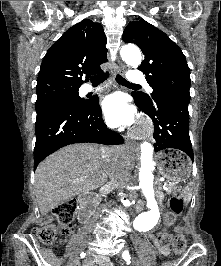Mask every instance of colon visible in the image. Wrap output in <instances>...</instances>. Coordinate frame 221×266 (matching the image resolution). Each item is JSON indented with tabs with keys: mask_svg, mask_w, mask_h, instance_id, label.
Masks as SVG:
<instances>
[{
	"mask_svg": "<svg viewBox=\"0 0 221 266\" xmlns=\"http://www.w3.org/2000/svg\"><path fill=\"white\" fill-rule=\"evenodd\" d=\"M170 211L165 213L163 216L164 230L159 233V240L161 243H166L168 240V234L166 228L172 226L177 217L180 216L184 209V201L180 190L172 195L169 200ZM76 210V201L67 200L57 205L52 214L58 222L59 227L54 226H41L35 227L33 233L38 237V239L46 244L51 245L55 242L58 235H68L74 230L72 224L74 213ZM173 250L176 254H182L186 249V239L183 235L177 234L174 236L172 241Z\"/></svg>",
	"mask_w": 221,
	"mask_h": 266,
	"instance_id": "obj_1",
	"label": "colon"
}]
</instances>
